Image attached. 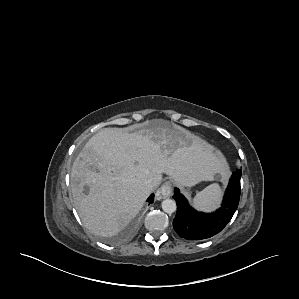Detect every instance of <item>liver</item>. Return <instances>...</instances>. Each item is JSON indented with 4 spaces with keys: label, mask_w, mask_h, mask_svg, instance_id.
<instances>
[{
    "label": "liver",
    "mask_w": 299,
    "mask_h": 299,
    "mask_svg": "<svg viewBox=\"0 0 299 299\" xmlns=\"http://www.w3.org/2000/svg\"><path fill=\"white\" fill-rule=\"evenodd\" d=\"M227 169L221 152L167 121L155 120L134 133L105 128L89 139L72 165L73 205L86 229L113 236L142 208L150 194L147 180L157 187L166 174L191 187Z\"/></svg>",
    "instance_id": "6515ba94"
}]
</instances>
